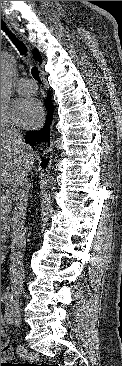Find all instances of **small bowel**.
Masks as SVG:
<instances>
[{"label":"small bowel","instance_id":"small-bowel-1","mask_svg":"<svg viewBox=\"0 0 122 366\" xmlns=\"http://www.w3.org/2000/svg\"><path fill=\"white\" fill-rule=\"evenodd\" d=\"M1 326H3V321H2V317H1Z\"/></svg>","mask_w":122,"mask_h":366}]
</instances>
